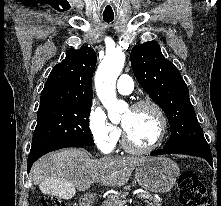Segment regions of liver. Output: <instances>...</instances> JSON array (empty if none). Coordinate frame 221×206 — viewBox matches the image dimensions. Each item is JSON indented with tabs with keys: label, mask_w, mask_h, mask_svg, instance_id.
<instances>
[{
	"label": "liver",
	"mask_w": 221,
	"mask_h": 206,
	"mask_svg": "<svg viewBox=\"0 0 221 206\" xmlns=\"http://www.w3.org/2000/svg\"><path fill=\"white\" fill-rule=\"evenodd\" d=\"M143 161L137 157L91 159L85 149L70 148L43 156L33 165L31 174L42 193H49L50 183L63 182L72 197L76 189L88 190L94 181L111 187L124 185Z\"/></svg>",
	"instance_id": "liver-1"
}]
</instances>
